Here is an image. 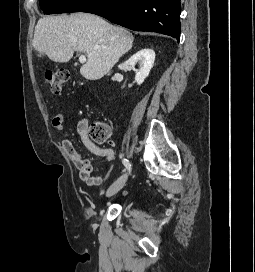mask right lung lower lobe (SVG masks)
Returning a JSON list of instances; mask_svg holds the SVG:
<instances>
[{
    "mask_svg": "<svg viewBox=\"0 0 255 272\" xmlns=\"http://www.w3.org/2000/svg\"><path fill=\"white\" fill-rule=\"evenodd\" d=\"M82 12L136 31L170 35L179 41L180 0H96Z\"/></svg>",
    "mask_w": 255,
    "mask_h": 272,
    "instance_id": "98d812e1",
    "label": "right lung lower lobe"
}]
</instances>
